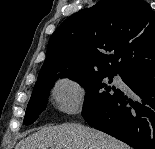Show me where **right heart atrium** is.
Here are the masks:
<instances>
[{
	"label": "right heart atrium",
	"instance_id": "right-heart-atrium-1",
	"mask_svg": "<svg viewBox=\"0 0 155 149\" xmlns=\"http://www.w3.org/2000/svg\"><path fill=\"white\" fill-rule=\"evenodd\" d=\"M84 85L73 78H62L52 89L55 107L62 113L74 114L80 109L85 97Z\"/></svg>",
	"mask_w": 155,
	"mask_h": 149
}]
</instances>
